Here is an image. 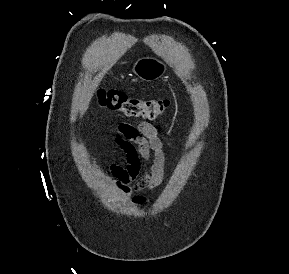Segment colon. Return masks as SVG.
<instances>
[{
	"instance_id": "colon-1",
	"label": "colon",
	"mask_w": 289,
	"mask_h": 274,
	"mask_svg": "<svg viewBox=\"0 0 289 274\" xmlns=\"http://www.w3.org/2000/svg\"><path fill=\"white\" fill-rule=\"evenodd\" d=\"M97 99L103 108L149 120L161 116L170 106L168 99H141L115 89L99 90Z\"/></svg>"
}]
</instances>
